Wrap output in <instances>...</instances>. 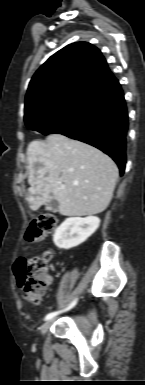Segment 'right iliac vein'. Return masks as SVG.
<instances>
[{
  "instance_id": "right-iliac-vein-1",
  "label": "right iliac vein",
  "mask_w": 145,
  "mask_h": 385,
  "mask_svg": "<svg viewBox=\"0 0 145 385\" xmlns=\"http://www.w3.org/2000/svg\"><path fill=\"white\" fill-rule=\"evenodd\" d=\"M51 324H52V320H48V321H46V322L42 325V327H41V332H42V334H45V333L48 331V329H49V327H50Z\"/></svg>"
}]
</instances>
